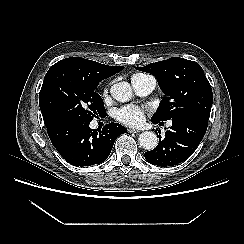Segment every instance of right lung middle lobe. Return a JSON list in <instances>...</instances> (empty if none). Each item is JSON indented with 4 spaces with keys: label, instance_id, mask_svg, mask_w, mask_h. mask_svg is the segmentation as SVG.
<instances>
[{
    "label": "right lung middle lobe",
    "instance_id": "dd1d6c3e",
    "mask_svg": "<svg viewBox=\"0 0 244 244\" xmlns=\"http://www.w3.org/2000/svg\"><path fill=\"white\" fill-rule=\"evenodd\" d=\"M97 85L87 84L58 70L46 73L39 93V106L46 127L79 120L91 122L94 117H105Z\"/></svg>",
    "mask_w": 244,
    "mask_h": 244
}]
</instances>
